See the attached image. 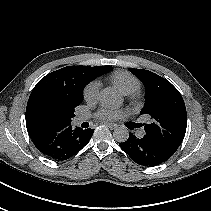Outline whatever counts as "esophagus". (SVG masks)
<instances>
[{
	"instance_id": "esophagus-1",
	"label": "esophagus",
	"mask_w": 211,
	"mask_h": 211,
	"mask_svg": "<svg viewBox=\"0 0 211 211\" xmlns=\"http://www.w3.org/2000/svg\"><path fill=\"white\" fill-rule=\"evenodd\" d=\"M104 125L108 126L110 129H115L117 128V124L112 123V122H103Z\"/></svg>"
}]
</instances>
